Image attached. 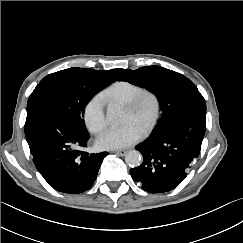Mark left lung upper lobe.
<instances>
[{"mask_svg":"<svg viewBox=\"0 0 243 243\" xmlns=\"http://www.w3.org/2000/svg\"><path fill=\"white\" fill-rule=\"evenodd\" d=\"M118 80L146 88L157 96L162 114L152 135L162 132L182 111L205 104L203 96L191 80L164 67L154 65L137 70L126 69Z\"/></svg>","mask_w":243,"mask_h":243,"instance_id":"left-lung-upper-lobe-1","label":"left lung upper lobe"}]
</instances>
